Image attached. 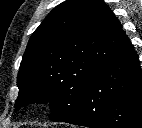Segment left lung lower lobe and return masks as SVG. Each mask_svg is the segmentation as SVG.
Listing matches in <instances>:
<instances>
[{
  "mask_svg": "<svg viewBox=\"0 0 142 128\" xmlns=\"http://www.w3.org/2000/svg\"><path fill=\"white\" fill-rule=\"evenodd\" d=\"M61 122L89 128H142V70L131 42L90 79Z\"/></svg>",
  "mask_w": 142,
  "mask_h": 128,
  "instance_id": "obj_1",
  "label": "left lung lower lobe"
}]
</instances>
